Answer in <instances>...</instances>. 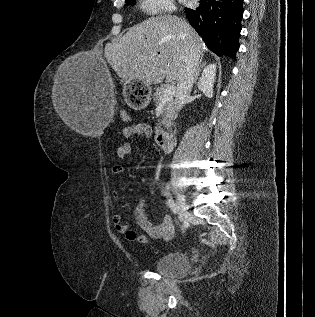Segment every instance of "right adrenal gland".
<instances>
[{"mask_svg": "<svg viewBox=\"0 0 315 317\" xmlns=\"http://www.w3.org/2000/svg\"><path fill=\"white\" fill-rule=\"evenodd\" d=\"M205 66H206V62H202V57H201L200 62H199V65H198V68H197V72H196V75H195L194 84H195V83L197 82V80H198V77H199V75H200L201 69H202L203 67H205Z\"/></svg>", "mask_w": 315, "mask_h": 317, "instance_id": "1", "label": "right adrenal gland"}]
</instances>
